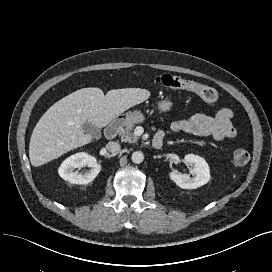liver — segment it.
<instances>
[{"label":"liver","mask_w":272,"mask_h":272,"mask_svg":"<svg viewBox=\"0 0 272 272\" xmlns=\"http://www.w3.org/2000/svg\"><path fill=\"white\" fill-rule=\"evenodd\" d=\"M141 88L77 90L53 104L40 118L31 135L29 158L34 167L44 165L63 154L92 141L82 125L89 121L97 128L108 125L127 109L150 97Z\"/></svg>","instance_id":"liver-1"}]
</instances>
